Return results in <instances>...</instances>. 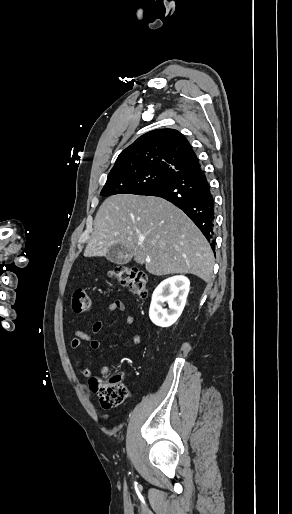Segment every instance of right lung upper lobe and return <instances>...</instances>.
<instances>
[{"label":"right lung upper lobe","instance_id":"right-lung-upper-lobe-1","mask_svg":"<svg viewBox=\"0 0 292 514\" xmlns=\"http://www.w3.org/2000/svg\"><path fill=\"white\" fill-rule=\"evenodd\" d=\"M188 140L177 130L156 129L145 133L124 149L108 177L143 172H176L197 165Z\"/></svg>","mask_w":292,"mask_h":514}]
</instances>
